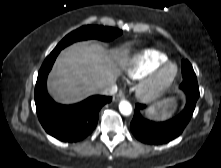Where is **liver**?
<instances>
[{"label":"liver","instance_id":"1","mask_svg":"<svg viewBox=\"0 0 221 168\" xmlns=\"http://www.w3.org/2000/svg\"><path fill=\"white\" fill-rule=\"evenodd\" d=\"M126 63L123 48L106 50L98 43L74 44L58 56L48 90L60 103L78 102L115 82Z\"/></svg>","mask_w":221,"mask_h":168}]
</instances>
